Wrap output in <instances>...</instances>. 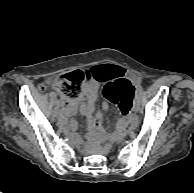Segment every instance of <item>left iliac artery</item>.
Segmentation results:
<instances>
[{
  "mask_svg": "<svg viewBox=\"0 0 194 193\" xmlns=\"http://www.w3.org/2000/svg\"><path fill=\"white\" fill-rule=\"evenodd\" d=\"M141 89H142V87H140V89L136 91V94H140L141 93Z\"/></svg>",
  "mask_w": 194,
  "mask_h": 193,
  "instance_id": "1",
  "label": "left iliac artery"
}]
</instances>
